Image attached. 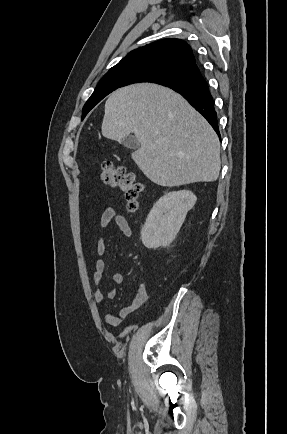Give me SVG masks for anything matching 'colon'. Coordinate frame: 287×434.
I'll use <instances>...</instances> for the list:
<instances>
[{
    "label": "colon",
    "mask_w": 287,
    "mask_h": 434,
    "mask_svg": "<svg viewBox=\"0 0 287 434\" xmlns=\"http://www.w3.org/2000/svg\"><path fill=\"white\" fill-rule=\"evenodd\" d=\"M101 179L104 184L123 193L129 211L138 209L140 194L144 187L132 172H128L124 167H115L111 162H105L101 167Z\"/></svg>",
    "instance_id": "obj_1"
}]
</instances>
